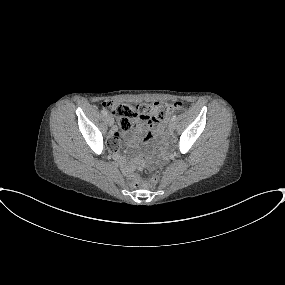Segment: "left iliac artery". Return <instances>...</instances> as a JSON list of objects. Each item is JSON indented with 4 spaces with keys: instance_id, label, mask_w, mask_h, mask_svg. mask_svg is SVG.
Wrapping results in <instances>:
<instances>
[{
    "instance_id": "left-iliac-artery-1",
    "label": "left iliac artery",
    "mask_w": 285,
    "mask_h": 285,
    "mask_svg": "<svg viewBox=\"0 0 285 285\" xmlns=\"http://www.w3.org/2000/svg\"><path fill=\"white\" fill-rule=\"evenodd\" d=\"M176 119H177V116H176V115H173V116H172V120L175 121Z\"/></svg>"
}]
</instances>
